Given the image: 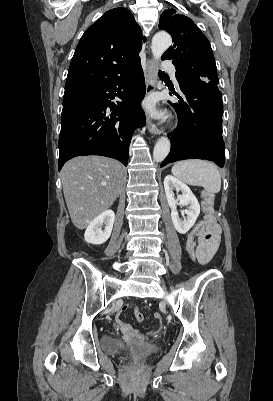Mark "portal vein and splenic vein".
Here are the masks:
<instances>
[{"label":"portal vein and splenic vein","mask_w":273,"mask_h":401,"mask_svg":"<svg viewBox=\"0 0 273 401\" xmlns=\"http://www.w3.org/2000/svg\"><path fill=\"white\" fill-rule=\"evenodd\" d=\"M101 184H107V182H101Z\"/></svg>","instance_id":"obj_1"}]
</instances>
